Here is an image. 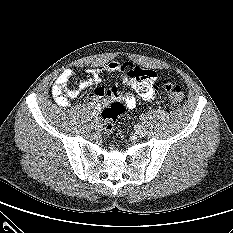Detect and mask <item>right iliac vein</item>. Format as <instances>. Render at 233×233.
Wrapping results in <instances>:
<instances>
[{"label": "right iliac vein", "instance_id": "63e3f726", "mask_svg": "<svg viewBox=\"0 0 233 233\" xmlns=\"http://www.w3.org/2000/svg\"><path fill=\"white\" fill-rule=\"evenodd\" d=\"M94 126L96 129H99L101 127V122L100 120L97 118V119H94Z\"/></svg>", "mask_w": 233, "mask_h": 233}]
</instances>
